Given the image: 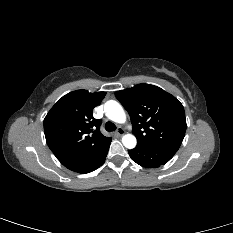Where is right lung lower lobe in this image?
I'll use <instances>...</instances> for the list:
<instances>
[{
    "label": "right lung lower lobe",
    "mask_w": 233,
    "mask_h": 233,
    "mask_svg": "<svg viewBox=\"0 0 233 233\" xmlns=\"http://www.w3.org/2000/svg\"><path fill=\"white\" fill-rule=\"evenodd\" d=\"M109 145L110 143L104 148L102 149L98 155L92 159L82 170H80L78 173H89L94 171L95 169H97L99 166H101L104 161L105 158L107 156L108 153V149H109Z\"/></svg>",
    "instance_id": "right-lung-lower-lobe-1"
}]
</instances>
